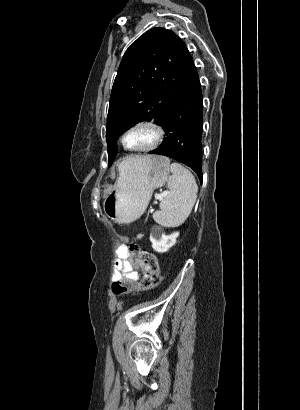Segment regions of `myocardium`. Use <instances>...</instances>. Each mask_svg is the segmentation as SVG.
Wrapping results in <instances>:
<instances>
[{
	"label": "myocardium",
	"mask_w": 300,
	"mask_h": 410,
	"mask_svg": "<svg viewBox=\"0 0 300 410\" xmlns=\"http://www.w3.org/2000/svg\"><path fill=\"white\" fill-rule=\"evenodd\" d=\"M138 128L150 129L154 133V140L150 144L144 147H139V148L128 147L125 143V137L127 136L128 133ZM164 137H165V130L159 123L153 120L144 119V120L136 121L133 124H131L129 127H127L120 136V142L123 148L129 152H149V151H152L158 148L162 144Z\"/></svg>",
	"instance_id": "1"
}]
</instances>
